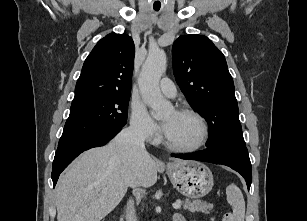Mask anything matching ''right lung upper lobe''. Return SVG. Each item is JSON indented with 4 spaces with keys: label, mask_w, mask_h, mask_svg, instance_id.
<instances>
[{
    "label": "right lung upper lobe",
    "mask_w": 307,
    "mask_h": 221,
    "mask_svg": "<svg viewBox=\"0 0 307 221\" xmlns=\"http://www.w3.org/2000/svg\"><path fill=\"white\" fill-rule=\"evenodd\" d=\"M135 47L127 34H108L86 58L72 102L130 93Z\"/></svg>",
    "instance_id": "cb5924a9"
}]
</instances>
